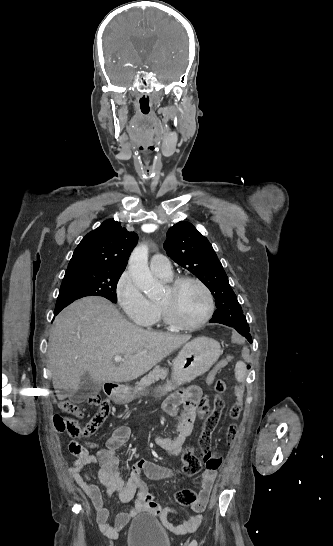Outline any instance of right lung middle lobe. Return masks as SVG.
<instances>
[{"label":"right lung middle lobe","mask_w":333,"mask_h":546,"mask_svg":"<svg viewBox=\"0 0 333 546\" xmlns=\"http://www.w3.org/2000/svg\"><path fill=\"white\" fill-rule=\"evenodd\" d=\"M123 271L101 269L90 273L65 274L55 311L62 310L73 301L85 296H102L116 303V286Z\"/></svg>","instance_id":"dd1d6c3e"}]
</instances>
